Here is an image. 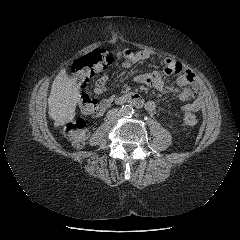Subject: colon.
I'll return each mask as SVG.
<instances>
[{"label":"colon","mask_w":240,"mask_h":240,"mask_svg":"<svg viewBox=\"0 0 240 240\" xmlns=\"http://www.w3.org/2000/svg\"><path fill=\"white\" fill-rule=\"evenodd\" d=\"M112 61L113 55L109 51L95 49L74 61L72 65L73 78L81 87H85L96 73L105 70ZM80 110L84 115H96L99 112V102L85 94L80 100ZM184 121L187 125L193 126L197 123V118L192 112L187 111ZM64 131L66 137L77 148L82 147L88 137L87 125L82 118L67 124Z\"/></svg>","instance_id":"colon-1"}]
</instances>
